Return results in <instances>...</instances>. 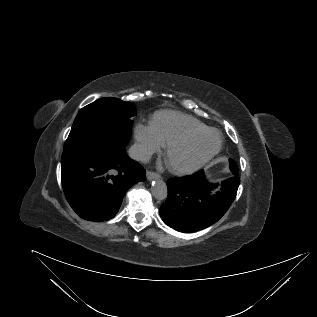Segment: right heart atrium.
Returning a JSON list of instances; mask_svg holds the SVG:
<instances>
[{"instance_id": "1", "label": "right heart atrium", "mask_w": 317, "mask_h": 317, "mask_svg": "<svg viewBox=\"0 0 317 317\" xmlns=\"http://www.w3.org/2000/svg\"><path fill=\"white\" fill-rule=\"evenodd\" d=\"M134 152L140 160H146L162 148L160 142L152 132L150 125L138 123L134 128Z\"/></svg>"}]
</instances>
